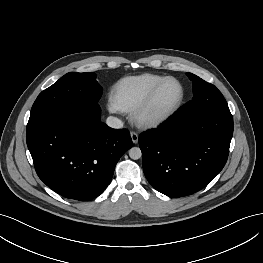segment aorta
Segmentation results:
<instances>
[{"label": "aorta", "instance_id": "obj_1", "mask_svg": "<svg viewBox=\"0 0 263 263\" xmlns=\"http://www.w3.org/2000/svg\"><path fill=\"white\" fill-rule=\"evenodd\" d=\"M129 156L131 159H134V160L141 158L142 156L141 149L139 147H132L129 150Z\"/></svg>", "mask_w": 263, "mask_h": 263}]
</instances>
